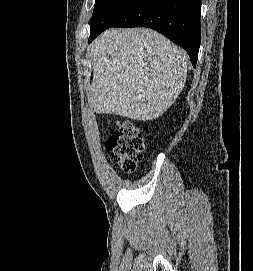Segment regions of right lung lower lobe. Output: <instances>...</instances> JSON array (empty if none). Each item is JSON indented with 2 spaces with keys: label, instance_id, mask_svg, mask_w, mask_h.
I'll use <instances>...</instances> for the list:
<instances>
[{
  "label": "right lung lower lobe",
  "instance_id": "obj_1",
  "mask_svg": "<svg viewBox=\"0 0 253 271\" xmlns=\"http://www.w3.org/2000/svg\"><path fill=\"white\" fill-rule=\"evenodd\" d=\"M201 0H133L110 27H149L184 48L196 67ZM103 32V31H102ZM101 32L90 34L89 42Z\"/></svg>",
  "mask_w": 253,
  "mask_h": 271
}]
</instances>
